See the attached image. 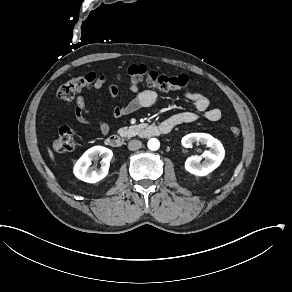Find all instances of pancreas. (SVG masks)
Masks as SVG:
<instances>
[{
	"label": "pancreas",
	"mask_w": 292,
	"mask_h": 292,
	"mask_svg": "<svg viewBox=\"0 0 292 292\" xmlns=\"http://www.w3.org/2000/svg\"><path fill=\"white\" fill-rule=\"evenodd\" d=\"M141 130V127L139 125H133L128 127H123L118 130V133L122 137H132L135 136L139 131Z\"/></svg>",
	"instance_id": "cf45deb5"
}]
</instances>
